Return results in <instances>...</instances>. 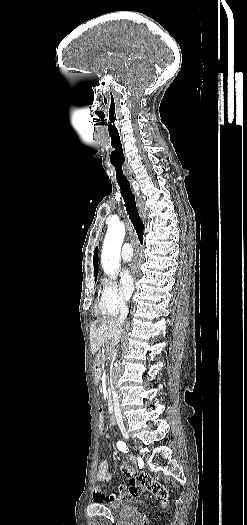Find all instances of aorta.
<instances>
[{"mask_svg":"<svg viewBox=\"0 0 247 525\" xmlns=\"http://www.w3.org/2000/svg\"><path fill=\"white\" fill-rule=\"evenodd\" d=\"M125 236L123 223H113L108 226L104 239L101 263L105 274L115 277L120 266V251Z\"/></svg>","mask_w":247,"mask_h":525,"instance_id":"obj_1","label":"aorta"}]
</instances>
